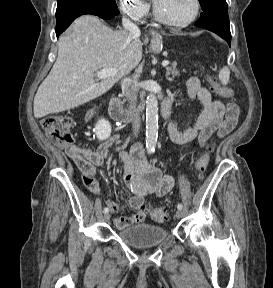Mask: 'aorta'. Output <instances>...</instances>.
Wrapping results in <instances>:
<instances>
[{"label": "aorta", "mask_w": 273, "mask_h": 288, "mask_svg": "<svg viewBox=\"0 0 273 288\" xmlns=\"http://www.w3.org/2000/svg\"><path fill=\"white\" fill-rule=\"evenodd\" d=\"M158 136V101L153 93L146 100V149L154 152Z\"/></svg>", "instance_id": "1"}]
</instances>
